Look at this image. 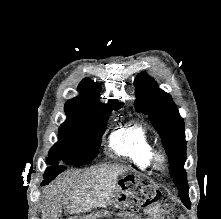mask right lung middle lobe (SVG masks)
<instances>
[{
  "label": "right lung middle lobe",
  "instance_id": "right-lung-middle-lobe-1",
  "mask_svg": "<svg viewBox=\"0 0 221 219\" xmlns=\"http://www.w3.org/2000/svg\"><path fill=\"white\" fill-rule=\"evenodd\" d=\"M109 116L98 120H67L60 126L58 142L51 148L47 162L82 165L98 154Z\"/></svg>",
  "mask_w": 221,
  "mask_h": 219
}]
</instances>
